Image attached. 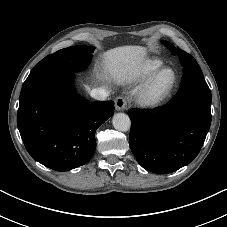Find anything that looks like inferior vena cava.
<instances>
[{"instance_id": "1", "label": "inferior vena cava", "mask_w": 227, "mask_h": 227, "mask_svg": "<svg viewBox=\"0 0 227 227\" xmlns=\"http://www.w3.org/2000/svg\"><path fill=\"white\" fill-rule=\"evenodd\" d=\"M90 95H91V97H93L96 100L104 101L109 96V91L102 87L95 88V89L91 90Z\"/></svg>"}]
</instances>
